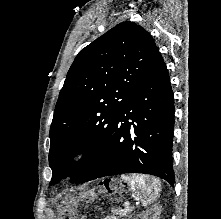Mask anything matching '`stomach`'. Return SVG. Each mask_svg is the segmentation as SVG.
Returning a JSON list of instances; mask_svg holds the SVG:
<instances>
[{
	"mask_svg": "<svg viewBox=\"0 0 221 219\" xmlns=\"http://www.w3.org/2000/svg\"><path fill=\"white\" fill-rule=\"evenodd\" d=\"M100 183H113V189L109 190V195H126V190H116L117 187L114 186V183H118V178H100Z\"/></svg>",
	"mask_w": 221,
	"mask_h": 219,
	"instance_id": "1",
	"label": "stomach"
}]
</instances>
